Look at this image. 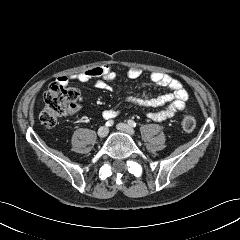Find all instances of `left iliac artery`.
Listing matches in <instances>:
<instances>
[{
    "mask_svg": "<svg viewBox=\"0 0 240 240\" xmlns=\"http://www.w3.org/2000/svg\"><path fill=\"white\" fill-rule=\"evenodd\" d=\"M128 124L132 127H136V123L133 120H128Z\"/></svg>",
    "mask_w": 240,
    "mask_h": 240,
    "instance_id": "44dca946",
    "label": "left iliac artery"
}]
</instances>
